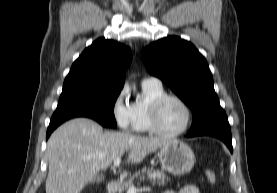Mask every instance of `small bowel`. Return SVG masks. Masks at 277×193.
<instances>
[{
    "instance_id": "obj_1",
    "label": "small bowel",
    "mask_w": 277,
    "mask_h": 193,
    "mask_svg": "<svg viewBox=\"0 0 277 193\" xmlns=\"http://www.w3.org/2000/svg\"><path fill=\"white\" fill-rule=\"evenodd\" d=\"M163 193H202V192L196 185L189 184V185L183 186L178 191L167 190V191H164Z\"/></svg>"
}]
</instances>
